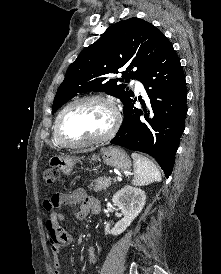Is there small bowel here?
Listing matches in <instances>:
<instances>
[{
    "label": "small bowel",
    "mask_w": 221,
    "mask_h": 274,
    "mask_svg": "<svg viewBox=\"0 0 221 274\" xmlns=\"http://www.w3.org/2000/svg\"><path fill=\"white\" fill-rule=\"evenodd\" d=\"M79 203L80 206L74 211L77 219H84L90 211L96 213L100 212V202L85 194L83 190H76L71 193H56L44 201V208L48 213L46 219V228L48 239L51 247L54 274H61L60 254L63 248L69 246L72 242V235L69 231L61 226L65 215L59 212L58 209L65 204ZM87 259L90 263L96 262V255L94 249L89 247L86 251Z\"/></svg>",
    "instance_id": "c3829d8e"
}]
</instances>
